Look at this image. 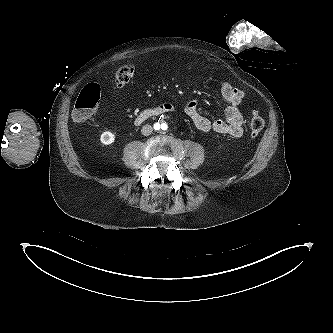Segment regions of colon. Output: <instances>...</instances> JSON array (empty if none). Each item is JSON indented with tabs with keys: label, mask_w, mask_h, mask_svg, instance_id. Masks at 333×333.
Segmentation results:
<instances>
[{
	"label": "colon",
	"mask_w": 333,
	"mask_h": 333,
	"mask_svg": "<svg viewBox=\"0 0 333 333\" xmlns=\"http://www.w3.org/2000/svg\"><path fill=\"white\" fill-rule=\"evenodd\" d=\"M135 67L132 64L125 65L117 70L115 83L118 87H124L132 78ZM101 97L100 87L95 83L87 84L79 93L73 110L72 118L75 122L83 124L88 122L98 109ZM265 121L258 111L253 110L250 120L251 135L256 137L264 128Z\"/></svg>",
	"instance_id": "colon-1"
}]
</instances>
